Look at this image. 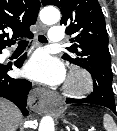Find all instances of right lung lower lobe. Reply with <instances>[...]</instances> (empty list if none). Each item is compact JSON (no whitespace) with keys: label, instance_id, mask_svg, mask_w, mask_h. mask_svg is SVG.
Here are the masks:
<instances>
[{"label":"right lung lower lobe","instance_id":"right-lung-lower-lobe-1","mask_svg":"<svg viewBox=\"0 0 117 131\" xmlns=\"http://www.w3.org/2000/svg\"><path fill=\"white\" fill-rule=\"evenodd\" d=\"M33 37V34L28 36ZM1 54V51H0ZM26 58V54L14 62V65L21 68ZM12 70V64H0V97H4L18 106L24 115L28 114L26 109L27 94L31 89V82L25 79H14L7 72Z\"/></svg>","mask_w":117,"mask_h":131}]
</instances>
